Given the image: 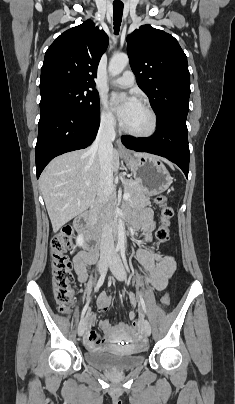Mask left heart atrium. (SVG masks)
Segmentation results:
<instances>
[{
  "mask_svg": "<svg viewBox=\"0 0 235 404\" xmlns=\"http://www.w3.org/2000/svg\"><path fill=\"white\" fill-rule=\"evenodd\" d=\"M109 104L119 119L125 123L139 103L134 97L123 98L121 94L115 93L111 95Z\"/></svg>",
  "mask_w": 235,
  "mask_h": 404,
  "instance_id": "left-heart-atrium-1",
  "label": "left heart atrium"
}]
</instances>
